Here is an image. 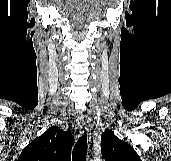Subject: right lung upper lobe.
Wrapping results in <instances>:
<instances>
[{
	"label": "right lung upper lobe",
	"instance_id": "obj_1",
	"mask_svg": "<svg viewBox=\"0 0 171 161\" xmlns=\"http://www.w3.org/2000/svg\"><path fill=\"white\" fill-rule=\"evenodd\" d=\"M73 142L70 131L50 127L23 149L17 161H70Z\"/></svg>",
	"mask_w": 171,
	"mask_h": 161
}]
</instances>
